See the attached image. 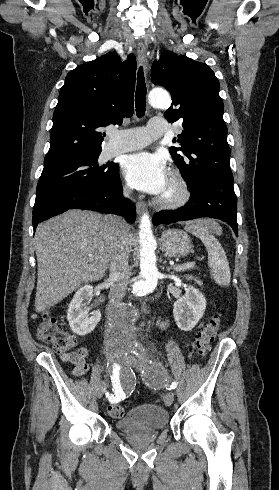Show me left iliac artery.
<instances>
[{"label": "left iliac artery", "mask_w": 279, "mask_h": 490, "mask_svg": "<svg viewBox=\"0 0 279 490\" xmlns=\"http://www.w3.org/2000/svg\"><path fill=\"white\" fill-rule=\"evenodd\" d=\"M173 386H174V387H176V383H175V384H173Z\"/></svg>", "instance_id": "44dca946"}]
</instances>
